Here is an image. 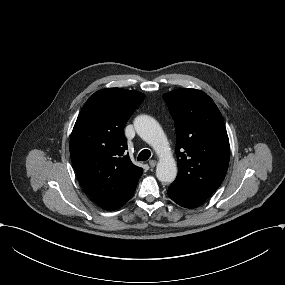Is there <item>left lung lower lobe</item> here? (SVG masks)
Listing matches in <instances>:
<instances>
[{
  "label": "left lung lower lobe",
  "mask_w": 285,
  "mask_h": 285,
  "mask_svg": "<svg viewBox=\"0 0 285 285\" xmlns=\"http://www.w3.org/2000/svg\"><path fill=\"white\" fill-rule=\"evenodd\" d=\"M168 196L180 206L190 209L196 208L206 201V199L192 195L173 183L168 188Z\"/></svg>",
  "instance_id": "1"
}]
</instances>
